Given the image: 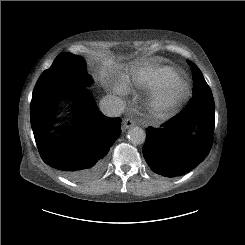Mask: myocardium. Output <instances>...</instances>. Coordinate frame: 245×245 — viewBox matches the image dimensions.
I'll use <instances>...</instances> for the list:
<instances>
[{
    "label": "myocardium",
    "instance_id": "1",
    "mask_svg": "<svg viewBox=\"0 0 245 245\" xmlns=\"http://www.w3.org/2000/svg\"><path fill=\"white\" fill-rule=\"evenodd\" d=\"M189 87L181 78L164 89H151L149 104L158 118H165L175 112L188 95Z\"/></svg>",
    "mask_w": 245,
    "mask_h": 245
}]
</instances>
